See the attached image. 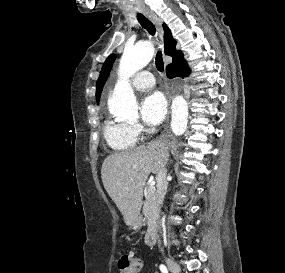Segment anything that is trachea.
<instances>
[{
	"label": "trachea",
	"instance_id": "trachea-1",
	"mask_svg": "<svg viewBox=\"0 0 285 273\" xmlns=\"http://www.w3.org/2000/svg\"><path fill=\"white\" fill-rule=\"evenodd\" d=\"M137 19H138L139 23L141 24V26L144 29H146L150 35H152V36L155 35L156 28H155V26L153 25V23L149 19H147L141 13L137 14ZM155 64H156L157 70H159L160 72H163V70H164V63H163L162 53H161L160 50L156 54Z\"/></svg>",
	"mask_w": 285,
	"mask_h": 273
}]
</instances>
